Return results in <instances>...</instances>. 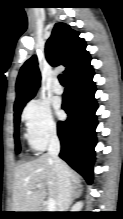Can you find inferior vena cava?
<instances>
[{
    "instance_id": "602c4592",
    "label": "inferior vena cava",
    "mask_w": 123,
    "mask_h": 219,
    "mask_svg": "<svg viewBox=\"0 0 123 219\" xmlns=\"http://www.w3.org/2000/svg\"><path fill=\"white\" fill-rule=\"evenodd\" d=\"M60 142L56 132L50 135L48 155L53 159L58 178L57 211L66 212L69 208L72 193V184L66 164L58 157Z\"/></svg>"
}]
</instances>
